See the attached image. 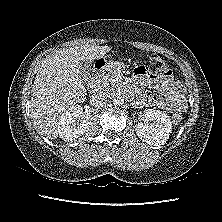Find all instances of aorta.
<instances>
[{
    "instance_id": "obj_1",
    "label": "aorta",
    "mask_w": 222,
    "mask_h": 222,
    "mask_svg": "<svg viewBox=\"0 0 222 222\" xmlns=\"http://www.w3.org/2000/svg\"><path fill=\"white\" fill-rule=\"evenodd\" d=\"M113 104L115 107H119L123 104V99L121 97H115L113 99Z\"/></svg>"
}]
</instances>
